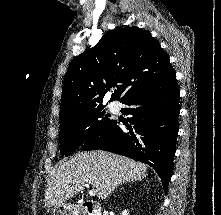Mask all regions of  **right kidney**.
<instances>
[{"mask_svg": "<svg viewBox=\"0 0 221 215\" xmlns=\"http://www.w3.org/2000/svg\"><path fill=\"white\" fill-rule=\"evenodd\" d=\"M122 215H128L127 210H124V211L122 212Z\"/></svg>", "mask_w": 221, "mask_h": 215, "instance_id": "right-kidney-1", "label": "right kidney"}]
</instances>
